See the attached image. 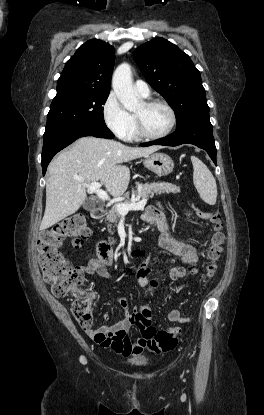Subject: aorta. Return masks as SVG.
Returning <instances> with one entry per match:
<instances>
[{
    "label": "aorta",
    "mask_w": 264,
    "mask_h": 415,
    "mask_svg": "<svg viewBox=\"0 0 264 415\" xmlns=\"http://www.w3.org/2000/svg\"><path fill=\"white\" fill-rule=\"evenodd\" d=\"M112 86L120 102L129 111L137 110L142 100L132 85L131 66L128 63L120 64L113 73Z\"/></svg>",
    "instance_id": "762f6f07"
}]
</instances>
